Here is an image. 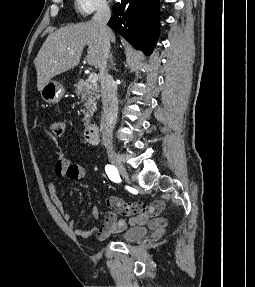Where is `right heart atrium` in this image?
Masks as SVG:
<instances>
[{"label":"right heart atrium","instance_id":"obj_1","mask_svg":"<svg viewBox=\"0 0 255 287\" xmlns=\"http://www.w3.org/2000/svg\"><path fill=\"white\" fill-rule=\"evenodd\" d=\"M83 33V32H81ZM64 48H86V47H64Z\"/></svg>","mask_w":255,"mask_h":287}]
</instances>
